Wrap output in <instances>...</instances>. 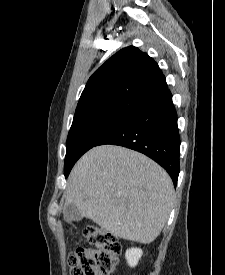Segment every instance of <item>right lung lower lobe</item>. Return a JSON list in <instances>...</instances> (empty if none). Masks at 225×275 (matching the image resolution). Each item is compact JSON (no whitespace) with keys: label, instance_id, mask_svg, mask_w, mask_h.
Here are the masks:
<instances>
[{"label":"right lung lower lobe","instance_id":"right-lung-lower-lobe-1","mask_svg":"<svg viewBox=\"0 0 225 275\" xmlns=\"http://www.w3.org/2000/svg\"><path fill=\"white\" fill-rule=\"evenodd\" d=\"M141 152L161 165L177 184L180 137L172 94L147 103L128 115L98 143Z\"/></svg>","mask_w":225,"mask_h":275}]
</instances>
